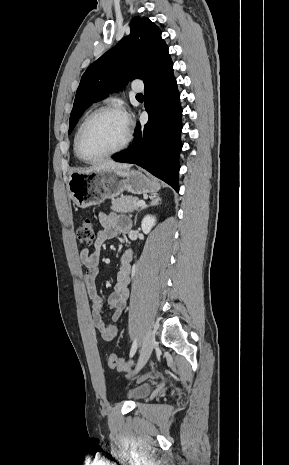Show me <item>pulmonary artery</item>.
I'll return each mask as SVG.
<instances>
[{"mask_svg": "<svg viewBox=\"0 0 289 465\" xmlns=\"http://www.w3.org/2000/svg\"><path fill=\"white\" fill-rule=\"evenodd\" d=\"M131 88L135 92H141L143 91V84L139 80H134L132 82Z\"/></svg>", "mask_w": 289, "mask_h": 465, "instance_id": "e3ab8cb5", "label": "pulmonary artery"}]
</instances>
